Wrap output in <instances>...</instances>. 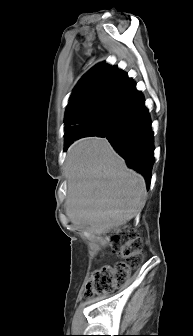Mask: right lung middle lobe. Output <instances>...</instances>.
<instances>
[{"mask_svg": "<svg viewBox=\"0 0 193 336\" xmlns=\"http://www.w3.org/2000/svg\"><path fill=\"white\" fill-rule=\"evenodd\" d=\"M112 110H104L93 118L78 121L77 124L71 127L70 132L73 134L83 133L84 137L97 135L104 127Z\"/></svg>", "mask_w": 193, "mask_h": 336, "instance_id": "right-lung-middle-lobe-1", "label": "right lung middle lobe"}]
</instances>
